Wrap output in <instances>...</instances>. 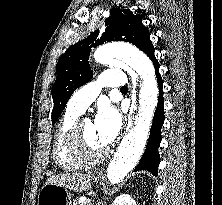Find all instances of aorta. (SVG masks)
Masks as SVG:
<instances>
[{
	"instance_id": "762f6f07",
	"label": "aorta",
	"mask_w": 222,
	"mask_h": 205,
	"mask_svg": "<svg viewBox=\"0 0 222 205\" xmlns=\"http://www.w3.org/2000/svg\"><path fill=\"white\" fill-rule=\"evenodd\" d=\"M97 56L103 58L106 64L127 69L134 77L129 124L106 169V182L117 186L144 154L159 90L151 60L135 46L127 43L106 44L98 50Z\"/></svg>"
}]
</instances>
